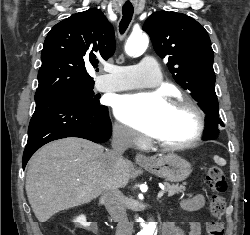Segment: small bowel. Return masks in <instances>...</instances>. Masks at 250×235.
Masks as SVG:
<instances>
[{
    "instance_id": "c3829d8e",
    "label": "small bowel",
    "mask_w": 250,
    "mask_h": 235,
    "mask_svg": "<svg viewBox=\"0 0 250 235\" xmlns=\"http://www.w3.org/2000/svg\"><path fill=\"white\" fill-rule=\"evenodd\" d=\"M206 197L204 194H197L183 201V207L188 211H198L205 206ZM163 235H185L184 232L176 227L172 222H165L162 226ZM188 235H201V226L198 222H192Z\"/></svg>"
}]
</instances>
